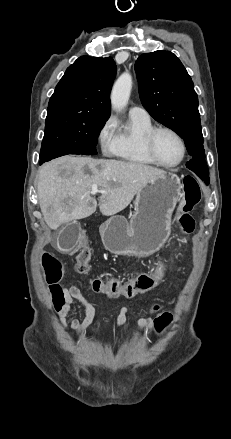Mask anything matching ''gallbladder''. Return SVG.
Segmentation results:
<instances>
[{
    "label": "gallbladder",
    "mask_w": 231,
    "mask_h": 439,
    "mask_svg": "<svg viewBox=\"0 0 231 439\" xmlns=\"http://www.w3.org/2000/svg\"><path fill=\"white\" fill-rule=\"evenodd\" d=\"M80 233L81 227L76 221L66 225L58 231L57 248L63 252L72 250L77 244Z\"/></svg>",
    "instance_id": "gallbladder-1"
}]
</instances>
